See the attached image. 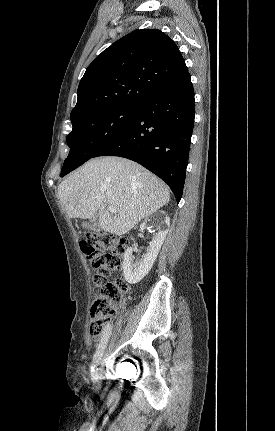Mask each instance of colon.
I'll return each instance as SVG.
<instances>
[{
    "mask_svg": "<svg viewBox=\"0 0 275 431\" xmlns=\"http://www.w3.org/2000/svg\"><path fill=\"white\" fill-rule=\"evenodd\" d=\"M80 248L92 264L95 284L101 288L91 307L89 332L95 338L117 315L122 296L128 288L121 279L108 281L121 266L127 241L108 233H90L80 242Z\"/></svg>",
    "mask_w": 275,
    "mask_h": 431,
    "instance_id": "colon-1",
    "label": "colon"
}]
</instances>
